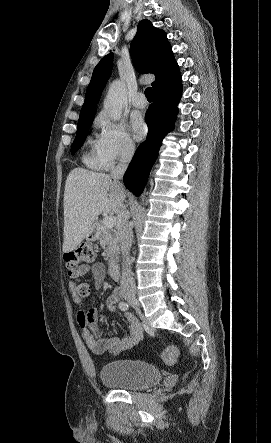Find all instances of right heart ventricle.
I'll list each match as a JSON object with an SVG mask.
<instances>
[{
	"instance_id": "e07e8e85",
	"label": "right heart ventricle",
	"mask_w": 271,
	"mask_h": 443,
	"mask_svg": "<svg viewBox=\"0 0 271 443\" xmlns=\"http://www.w3.org/2000/svg\"><path fill=\"white\" fill-rule=\"evenodd\" d=\"M83 161L87 166L94 169H103L108 167L104 161L96 154L95 150L85 153L83 156Z\"/></svg>"
}]
</instances>
